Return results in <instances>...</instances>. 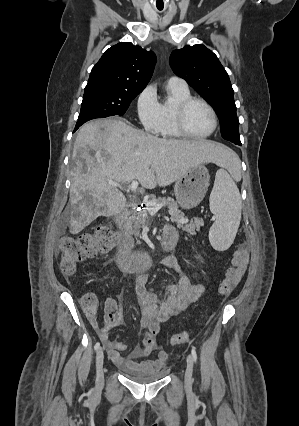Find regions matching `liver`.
<instances>
[{
    "label": "liver",
    "mask_w": 299,
    "mask_h": 426,
    "mask_svg": "<svg viewBox=\"0 0 299 426\" xmlns=\"http://www.w3.org/2000/svg\"><path fill=\"white\" fill-rule=\"evenodd\" d=\"M235 154L207 140L158 138L119 119L84 124L75 139L70 197V232L76 234L99 216H115L126 206L110 181L138 180L143 188L164 187L206 162L227 165Z\"/></svg>",
    "instance_id": "6515ba94"
}]
</instances>
